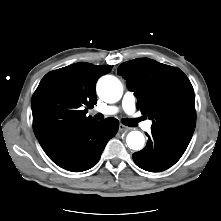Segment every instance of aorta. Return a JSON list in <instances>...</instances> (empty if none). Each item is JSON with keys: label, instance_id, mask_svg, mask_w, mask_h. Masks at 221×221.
<instances>
[{"label": "aorta", "instance_id": "aorta-1", "mask_svg": "<svg viewBox=\"0 0 221 221\" xmlns=\"http://www.w3.org/2000/svg\"><path fill=\"white\" fill-rule=\"evenodd\" d=\"M97 92L103 101L115 103L123 94V86L115 76L105 75L97 83ZM144 142V136L140 131H131L126 138L128 147L133 150H141L144 147Z\"/></svg>", "mask_w": 221, "mask_h": 221}]
</instances>
